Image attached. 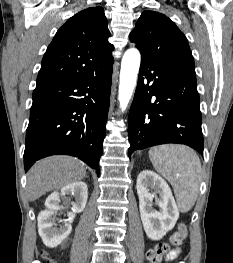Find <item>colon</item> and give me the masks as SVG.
I'll return each mask as SVG.
<instances>
[{"mask_svg": "<svg viewBox=\"0 0 233 263\" xmlns=\"http://www.w3.org/2000/svg\"><path fill=\"white\" fill-rule=\"evenodd\" d=\"M186 237V227L180 225L179 229L171 235L168 241L159 242L148 251L147 259L149 263H161L172 248H177L183 244ZM42 255L47 259V263H56L54 260L48 259L44 253Z\"/></svg>", "mask_w": 233, "mask_h": 263, "instance_id": "1", "label": "colon"}]
</instances>
